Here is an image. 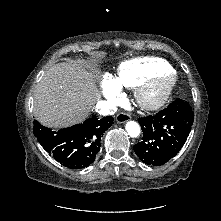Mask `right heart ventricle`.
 I'll return each instance as SVG.
<instances>
[{
	"instance_id": "right-heart-ventricle-1",
	"label": "right heart ventricle",
	"mask_w": 221,
	"mask_h": 221,
	"mask_svg": "<svg viewBox=\"0 0 221 221\" xmlns=\"http://www.w3.org/2000/svg\"><path fill=\"white\" fill-rule=\"evenodd\" d=\"M171 70L170 64L160 58L132 59L120 64L114 80L120 87L134 89L151 76Z\"/></svg>"
}]
</instances>
